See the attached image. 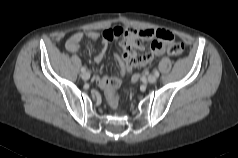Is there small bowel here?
I'll return each mask as SVG.
<instances>
[{
  "label": "small bowel",
  "mask_w": 238,
  "mask_h": 158,
  "mask_svg": "<svg viewBox=\"0 0 238 158\" xmlns=\"http://www.w3.org/2000/svg\"><path fill=\"white\" fill-rule=\"evenodd\" d=\"M114 37L121 36L123 38L121 43V53L117 54L116 57L119 62V75L124 72L131 71L134 67H142L149 64L155 57L161 56L165 53V43L172 40L173 35L164 29H133V28H122L115 27L110 29ZM102 39V48L94 56L95 62H101L107 51L108 41L100 36L97 32H77L67 42V49L71 52H76L79 49L80 43L83 40L96 41ZM155 39L150 49L142 54L138 51H143L144 46L142 40ZM138 76L135 75L132 81H137ZM115 80L120 83V77H108L98 75L96 77L97 84L100 89L105 92L108 91L111 81Z\"/></svg>",
  "instance_id": "obj_1"
}]
</instances>
